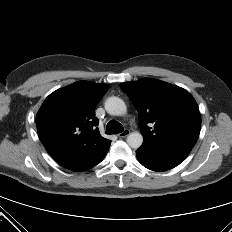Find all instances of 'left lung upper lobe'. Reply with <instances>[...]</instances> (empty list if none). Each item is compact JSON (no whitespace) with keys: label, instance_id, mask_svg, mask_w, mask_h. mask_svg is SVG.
Segmentation results:
<instances>
[{"label":"left lung upper lobe","instance_id":"left-lung-upper-lobe-1","mask_svg":"<svg viewBox=\"0 0 232 232\" xmlns=\"http://www.w3.org/2000/svg\"><path fill=\"white\" fill-rule=\"evenodd\" d=\"M139 113L142 146L192 148L199 136L201 116L185 89L152 78L120 85Z\"/></svg>","mask_w":232,"mask_h":232}]
</instances>
